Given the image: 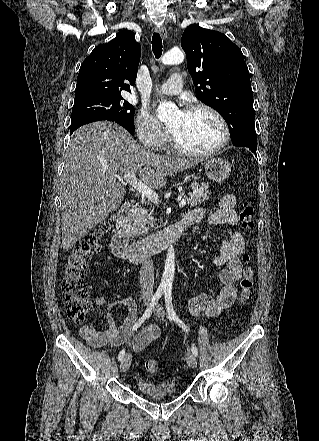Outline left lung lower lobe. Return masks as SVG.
Wrapping results in <instances>:
<instances>
[{
	"instance_id": "0a47b994",
	"label": "left lung lower lobe",
	"mask_w": 319,
	"mask_h": 441,
	"mask_svg": "<svg viewBox=\"0 0 319 441\" xmlns=\"http://www.w3.org/2000/svg\"><path fill=\"white\" fill-rule=\"evenodd\" d=\"M250 150L254 153V154H256V150H257V148H250Z\"/></svg>"
}]
</instances>
